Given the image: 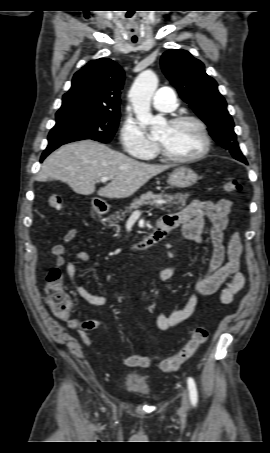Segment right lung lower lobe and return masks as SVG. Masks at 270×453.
I'll return each mask as SVG.
<instances>
[{"label": "right lung lower lobe", "mask_w": 270, "mask_h": 453, "mask_svg": "<svg viewBox=\"0 0 270 453\" xmlns=\"http://www.w3.org/2000/svg\"><path fill=\"white\" fill-rule=\"evenodd\" d=\"M62 144H49L47 148L44 150L40 162H42L47 155H49L53 150L57 149Z\"/></svg>", "instance_id": "right-lung-lower-lobe-1"}]
</instances>
